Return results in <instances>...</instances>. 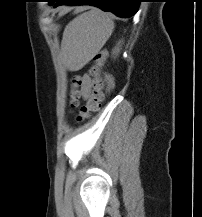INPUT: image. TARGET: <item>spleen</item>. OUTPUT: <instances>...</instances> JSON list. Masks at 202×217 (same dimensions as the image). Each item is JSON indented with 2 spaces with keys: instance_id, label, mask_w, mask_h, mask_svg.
I'll use <instances>...</instances> for the list:
<instances>
[{
  "instance_id": "spleen-1",
  "label": "spleen",
  "mask_w": 202,
  "mask_h": 217,
  "mask_svg": "<svg viewBox=\"0 0 202 217\" xmlns=\"http://www.w3.org/2000/svg\"><path fill=\"white\" fill-rule=\"evenodd\" d=\"M113 29L111 16L94 8L78 15L66 26L62 49L72 60L90 57L103 47Z\"/></svg>"
}]
</instances>
